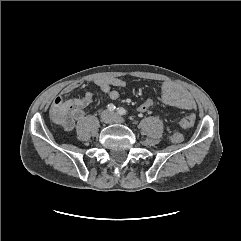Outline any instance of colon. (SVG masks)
Wrapping results in <instances>:
<instances>
[{
	"instance_id": "colon-1",
	"label": "colon",
	"mask_w": 241,
	"mask_h": 241,
	"mask_svg": "<svg viewBox=\"0 0 241 241\" xmlns=\"http://www.w3.org/2000/svg\"><path fill=\"white\" fill-rule=\"evenodd\" d=\"M154 108L155 104L153 100L147 99L138 105L137 110L140 113H150ZM50 117L54 124L66 129L73 124L72 107L68 106L61 98H57L50 110ZM195 121L196 117L194 115H188L181 119L180 125L183 128H190L195 124ZM171 140L174 143H180L183 140V135L175 133L172 135Z\"/></svg>"
}]
</instances>
